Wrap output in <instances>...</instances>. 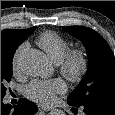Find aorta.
I'll return each instance as SVG.
<instances>
[{"label": "aorta", "mask_w": 115, "mask_h": 115, "mask_svg": "<svg viewBox=\"0 0 115 115\" xmlns=\"http://www.w3.org/2000/svg\"><path fill=\"white\" fill-rule=\"evenodd\" d=\"M22 70L31 76H45L48 73V60L39 50H29L20 57ZM49 115H66L61 109H52Z\"/></svg>", "instance_id": "1"}]
</instances>
